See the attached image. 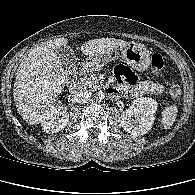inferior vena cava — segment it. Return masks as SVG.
Returning a JSON list of instances; mask_svg holds the SVG:
<instances>
[{"instance_id": "602c4592", "label": "inferior vena cava", "mask_w": 195, "mask_h": 195, "mask_svg": "<svg viewBox=\"0 0 195 195\" xmlns=\"http://www.w3.org/2000/svg\"><path fill=\"white\" fill-rule=\"evenodd\" d=\"M91 97L92 93L87 89H81L76 94H74V100L77 103H86L91 99Z\"/></svg>"}]
</instances>
